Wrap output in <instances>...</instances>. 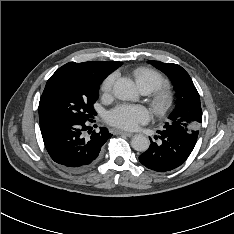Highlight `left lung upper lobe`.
<instances>
[{
  "label": "left lung upper lobe",
  "instance_id": "obj_1",
  "mask_svg": "<svg viewBox=\"0 0 234 234\" xmlns=\"http://www.w3.org/2000/svg\"><path fill=\"white\" fill-rule=\"evenodd\" d=\"M148 63L164 72L176 89L177 104L164 129L181 133L190 141L196 142L202 122V109L199 93L189 74L177 64L152 60Z\"/></svg>",
  "mask_w": 234,
  "mask_h": 234
}]
</instances>
